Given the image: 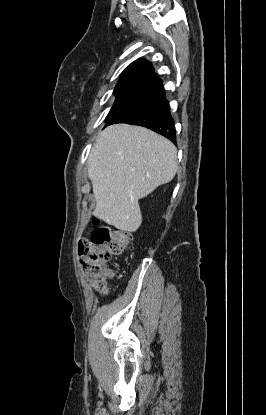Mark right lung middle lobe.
<instances>
[{"label": "right lung middle lobe", "instance_id": "dd1d6c3e", "mask_svg": "<svg viewBox=\"0 0 266 415\" xmlns=\"http://www.w3.org/2000/svg\"><path fill=\"white\" fill-rule=\"evenodd\" d=\"M116 94L115 103L112 106L107 118L110 120L115 114L121 112L122 110L134 105L135 103L143 100L148 95L144 93H135V92H114ZM108 120V121H109Z\"/></svg>", "mask_w": 266, "mask_h": 415}]
</instances>
